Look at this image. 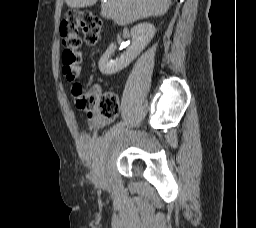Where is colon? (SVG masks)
<instances>
[{
	"mask_svg": "<svg viewBox=\"0 0 256 228\" xmlns=\"http://www.w3.org/2000/svg\"><path fill=\"white\" fill-rule=\"evenodd\" d=\"M83 33L88 45H95L101 38V20L90 11H70L60 25L64 45L62 72L68 80L78 77L81 70L80 47ZM76 106L89 117L113 119L119 111L118 97L114 92L95 94L87 92L80 84L73 87Z\"/></svg>",
	"mask_w": 256,
	"mask_h": 228,
	"instance_id": "colon-1",
	"label": "colon"
}]
</instances>
